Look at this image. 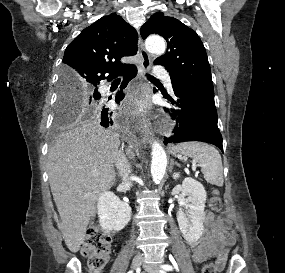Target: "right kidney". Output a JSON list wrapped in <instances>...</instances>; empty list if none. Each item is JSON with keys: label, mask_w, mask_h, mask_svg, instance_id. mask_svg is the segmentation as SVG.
<instances>
[{"label": "right kidney", "mask_w": 285, "mask_h": 273, "mask_svg": "<svg viewBox=\"0 0 285 273\" xmlns=\"http://www.w3.org/2000/svg\"><path fill=\"white\" fill-rule=\"evenodd\" d=\"M97 209L100 226L105 231H120L130 221V206L113 192L100 195Z\"/></svg>", "instance_id": "right-kidney-1"}]
</instances>
